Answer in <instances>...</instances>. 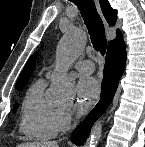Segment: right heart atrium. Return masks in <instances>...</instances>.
Returning <instances> with one entry per match:
<instances>
[{
  "label": "right heart atrium",
  "mask_w": 145,
  "mask_h": 147,
  "mask_svg": "<svg viewBox=\"0 0 145 147\" xmlns=\"http://www.w3.org/2000/svg\"><path fill=\"white\" fill-rule=\"evenodd\" d=\"M74 116L75 110L73 107L59 109L56 121L57 132L67 130L71 126Z\"/></svg>",
  "instance_id": "right-heart-atrium-1"
}]
</instances>
